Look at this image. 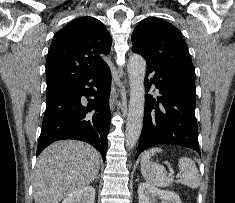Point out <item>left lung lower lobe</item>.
Here are the masks:
<instances>
[{"instance_id":"left-lung-lower-lobe-1","label":"left lung lower lobe","mask_w":235,"mask_h":203,"mask_svg":"<svg viewBox=\"0 0 235 203\" xmlns=\"http://www.w3.org/2000/svg\"><path fill=\"white\" fill-rule=\"evenodd\" d=\"M153 71L154 78L148 82L147 76ZM144 84L146 91L154 84L162 96L157 97V101L151 95L146 97L136 158L145 149L160 143L188 147L200 155L195 117V80L147 62Z\"/></svg>"}]
</instances>
